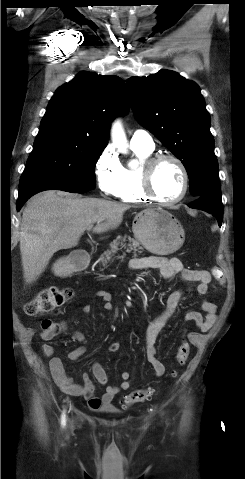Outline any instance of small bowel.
<instances>
[{
  "label": "small bowel",
  "mask_w": 245,
  "mask_h": 479,
  "mask_svg": "<svg viewBox=\"0 0 245 479\" xmlns=\"http://www.w3.org/2000/svg\"><path fill=\"white\" fill-rule=\"evenodd\" d=\"M129 269L132 271L144 269L157 270L164 279H171L175 275L180 274L184 281L197 283L194 290L200 295H205L207 293L208 284L211 281V275L207 270L186 269L178 258H133L129 261ZM96 296L102 300L104 310H112V295L109 292L97 291ZM183 296L184 292L181 290L172 292L166 300L164 310L151 321L147 329L145 351L148 362L157 377H161L165 373L164 364L156 356L157 338L160 331L174 315ZM90 311V305H85L82 308L83 313H89ZM201 312H203L204 315H202ZM184 319L193 322L200 332H207L214 326L217 320L216 305L207 299H203L200 302V311H190L185 315ZM59 330L61 332L66 331V324L64 322L59 324ZM73 337L77 341L85 343V337L81 332H74ZM119 348L120 344L118 342H111L108 345V350L110 352H117ZM41 352L49 359V367L52 376L61 391L70 396L84 398L87 401L88 408L92 411H101L111 408L113 406L114 398L121 391L128 390L131 387L130 373L123 371L120 375L122 379L120 386L108 385L105 392L101 396H97L95 394V384L89 374H83L82 383H75L72 378L67 375L61 358L54 355V348L52 345L43 344L41 346ZM85 352V345L79 346L68 353V358L72 361L78 360ZM91 373L99 384H107V373L100 363L95 362L92 364Z\"/></svg>",
  "instance_id": "small-bowel-1"
}]
</instances>
